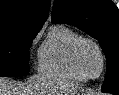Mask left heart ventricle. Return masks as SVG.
Listing matches in <instances>:
<instances>
[{
    "instance_id": "b2bd125f",
    "label": "left heart ventricle",
    "mask_w": 119,
    "mask_h": 95,
    "mask_svg": "<svg viewBox=\"0 0 119 95\" xmlns=\"http://www.w3.org/2000/svg\"><path fill=\"white\" fill-rule=\"evenodd\" d=\"M81 70L88 76H96L101 69V58L97 49L90 43H83L77 54Z\"/></svg>"
}]
</instances>
